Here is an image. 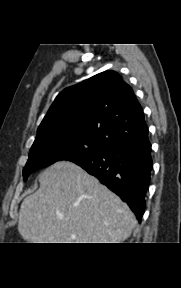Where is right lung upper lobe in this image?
Wrapping results in <instances>:
<instances>
[{"instance_id": "1", "label": "right lung upper lobe", "mask_w": 181, "mask_h": 288, "mask_svg": "<svg viewBox=\"0 0 181 288\" xmlns=\"http://www.w3.org/2000/svg\"><path fill=\"white\" fill-rule=\"evenodd\" d=\"M35 139L83 136L106 148L148 139L143 109L115 71H104L58 94Z\"/></svg>"}]
</instances>
